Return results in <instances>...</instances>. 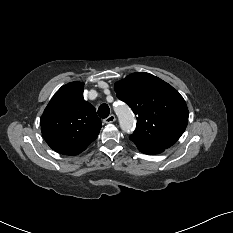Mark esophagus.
<instances>
[{"label": "esophagus", "instance_id": "1", "mask_svg": "<svg viewBox=\"0 0 233 233\" xmlns=\"http://www.w3.org/2000/svg\"><path fill=\"white\" fill-rule=\"evenodd\" d=\"M116 120L114 114H110L107 118L104 119V122L107 124L113 123Z\"/></svg>", "mask_w": 233, "mask_h": 233}]
</instances>
